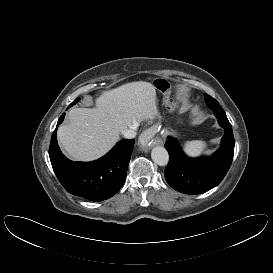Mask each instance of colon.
I'll use <instances>...</instances> for the list:
<instances>
[{"label":"colon","mask_w":273,"mask_h":273,"mask_svg":"<svg viewBox=\"0 0 273 273\" xmlns=\"http://www.w3.org/2000/svg\"><path fill=\"white\" fill-rule=\"evenodd\" d=\"M156 86L158 89L162 90V91H165L166 89L169 88V84L167 81L165 80H162V79H159L156 81Z\"/></svg>","instance_id":"colon-1"}]
</instances>
